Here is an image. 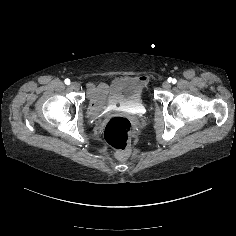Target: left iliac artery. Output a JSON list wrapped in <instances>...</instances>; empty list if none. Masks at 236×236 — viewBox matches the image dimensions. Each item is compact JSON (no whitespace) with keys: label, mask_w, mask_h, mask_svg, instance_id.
Listing matches in <instances>:
<instances>
[{"label":"left iliac artery","mask_w":236,"mask_h":236,"mask_svg":"<svg viewBox=\"0 0 236 236\" xmlns=\"http://www.w3.org/2000/svg\"><path fill=\"white\" fill-rule=\"evenodd\" d=\"M169 82H171L172 81V83L173 84H175L176 82H177V80L176 79H172V78H170V80H168Z\"/></svg>","instance_id":"44dca946"}]
</instances>
